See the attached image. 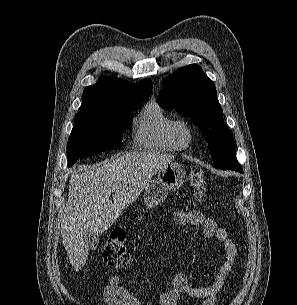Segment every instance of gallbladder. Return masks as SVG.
<instances>
[{"mask_svg":"<svg viewBox=\"0 0 297 305\" xmlns=\"http://www.w3.org/2000/svg\"><path fill=\"white\" fill-rule=\"evenodd\" d=\"M83 240L89 250H95L99 244V234L92 232H85Z\"/></svg>","mask_w":297,"mask_h":305,"instance_id":"obj_1","label":"gallbladder"}]
</instances>
